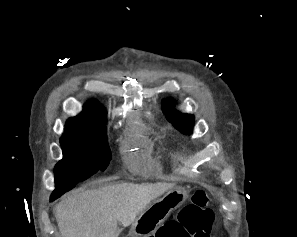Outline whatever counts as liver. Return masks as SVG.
Returning <instances> with one entry per match:
<instances>
[{"label": "liver", "mask_w": 297, "mask_h": 237, "mask_svg": "<svg viewBox=\"0 0 297 237\" xmlns=\"http://www.w3.org/2000/svg\"><path fill=\"white\" fill-rule=\"evenodd\" d=\"M174 187L173 183H120L75 193L54 209L63 237H118L151 201Z\"/></svg>", "instance_id": "obj_1"}]
</instances>
